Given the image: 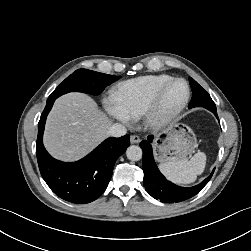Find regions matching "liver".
Returning <instances> with one entry per match:
<instances>
[{"label":"liver","mask_w":251,"mask_h":251,"mask_svg":"<svg viewBox=\"0 0 251 251\" xmlns=\"http://www.w3.org/2000/svg\"><path fill=\"white\" fill-rule=\"evenodd\" d=\"M110 125V119L91 97L68 93L55 101L48 115L44 144L57 159L78 160L108 135Z\"/></svg>","instance_id":"6515ba94"}]
</instances>
